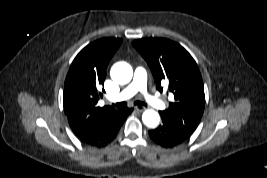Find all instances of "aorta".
<instances>
[{"label":"aorta","mask_w":267,"mask_h":178,"mask_svg":"<svg viewBox=\"0 0 267 178\" xmlns=\"http://www.w3.org/2000/svg\"><path fill=\"white\" fill-rule=\"evenodd\" d=\"M110 75L118 84H127L132 79L133 69L126 62H117L112 66ZM142 121L147 127L155 128L160 122V116L156 111L148 109L143 112Z\"/></svg>","instance_id":"1"}]
</instances>
